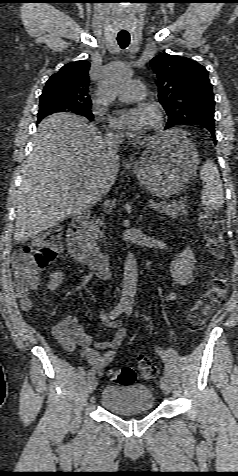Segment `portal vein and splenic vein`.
Masks as SVG:
<instances>
[{
  "label": "portal vein and splenic vein",
  "mask_w": 238,
  "mask_h": 476,
  "mask_svg": "<svg viewBox=\"0 0 238 476\" xmlns=\"http://www.w3.org/2000/svg\"><path fill=\"white\" fill-rule=\"evenodd\" d=\"M156 206H157V204L155 202L149 201V203H148L149 208H155Z\"/></svg>",
  "instance_id": "portal-vein-and-splenic-vein-1"
}]
</instances>
